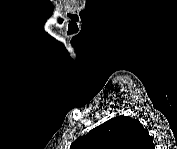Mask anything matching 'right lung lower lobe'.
I'll use <instances>...</instances> for the list:
<instances>
[{"label":"right lung lower lobe","mask_w":177,"mask_h":149,"mask_svg":"<svg viewBox=\"0 0 177 149\" xmlns=\"http://www.w3.org/2000/svg\"><path fill=\"white\" fill-rule=\"evenodd\" d=\"M143 142H146L147 143V146H152L153 147V141H152V138L150 137V135H148V136H146L145 138H144V141ZM150 143H152L151 145H150Z\"/></svg>","instance_id":"98d812e1"}]
</instances>
